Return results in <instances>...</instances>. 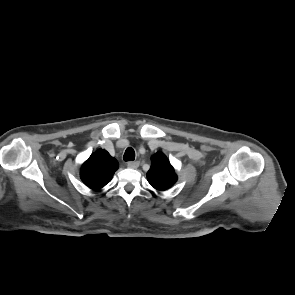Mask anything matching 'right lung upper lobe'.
Wrapping results in <instances>:
<instances>
[{
    "instance_id": "obj_1",
    "label": "right lung upper lobe",
    "mask_w": 295,
    "mask_h": 295,
    "mask_svg": "<svg viewBox=\"0 0 295 295\" xmlns=\"http://www.w3.org/2000/svg\"><path fill=\"white\" fill-rule=\"evenodd\" d=\"M118 166L115 158L106 150L99 149L82 164L80 177L86 186L99 190L111 181Z\"/></svg>"
}]
</instances>
